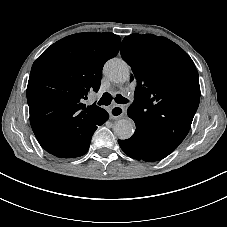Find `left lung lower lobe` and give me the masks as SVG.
I'll return each instance as SVG.
<instances>
[{"label": "left lung lower lobe", "instance_id": "1", "mask_svg": "<svg viewBox=\"0 0 227 227\" xmlns=\"http://www.w3.org/2000/svg\"><path fill=\"white\" fill-rule=\"evenodd\" d=\"M118 143L128 156L147 162L159 161L173 151L156 143L140 130H136L130 139L118 140Z\"/></svg>", "mask_w": 227, "mask_h": 227}]
</instances>
